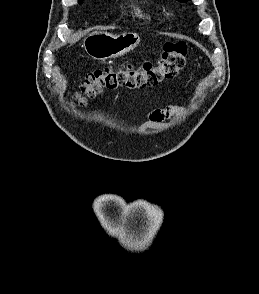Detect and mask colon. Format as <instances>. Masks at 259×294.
I'll return each instance as SVG.
<instances>
[{
  "label": "colon",
  "instance_id": "colon-1",
  "mask_svg": "<svg viewBox=\"0 0 259 294\" xmlns=\"http://www.w3.org/2000/svg\"><path fill=\"white\" fill-rule=\"evenodd\" d=\"M187 47L184 42H168L164 45L157 63L145 62L141 65L125 63L96 69L87 74L76 98L85 103L104 88L127 87L131 89L155 86L165 79L175 78L184 68Z\"/></svg>",
  "mask_w": 259,
  "mask_h": 294
}]
</instances>
